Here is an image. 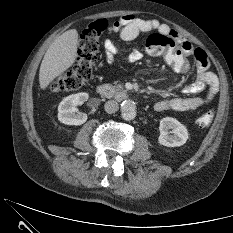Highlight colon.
<instances>
[{
  "label": "colon",
  "mask_w": 233,
  "mask_h": 233,
  "mask_svg": "<svg viewBox=\"0 0 233 233\" xmlns=\"http://www.w3.org/2000/svg\"><path fill=\"white\" fill-rule=\"evenodd\" d=\"M108 29V22L100 19L90 23L83 30L75 66L51 82L49 86L51 91L78 90L90 81L99 55V38ZM146 51L150 55L162 57L167 65L177 73H185L189 70L188 57L182 52L177 41L169 34H151L146 40ZM213 118L214 112L208 110L198 118L197 125L200 128L208 127Z\"/></svg>",
  "instance_id": "obj_1"
}]
</instances>
